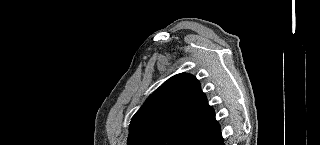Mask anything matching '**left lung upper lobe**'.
<instances>
[{
	"label": "left lung upper lobe",
	"instance_id": "obj_1",
	"mask_svg": "<svg viewBox=\"0 0 320 145\" xmlns=\"http://www.w3.org/2000/svg\"><path fill=\"white\" fill-rule=\"evenodd\" d=\"M213 113L193 75H174L133 116L127 145H178Z\"/></svg>",
	"mask_w": 320,
	"mask_h": 145
}]
</instances>
